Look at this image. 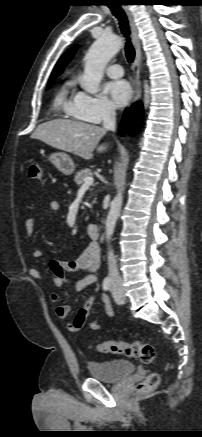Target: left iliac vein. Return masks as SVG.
<instances>
[{
    "mask_svg": "<svg viewBox=\"0 0 202 437\" xmlns=\"http://www.w3.org/2000/svg\"><path fill=\"white\" fill-rule=\"evenodd\" d=\"M112 294L114 297V300L117 304H123L125 301V295L122 289L120 288H113Z\"/></svg>",
    "mask_w": 202,
    "mask_h": 437,
    "instance_id": "obj_1",
    "label": "left iliac vein"
}]
</instances>
